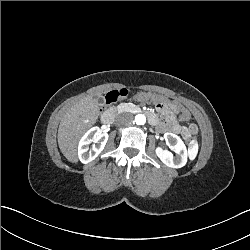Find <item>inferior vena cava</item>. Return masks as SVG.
<instances>
[{
  "label": "inferior vena cava",
  "instance_id": "1",
  "mask_svg": "<svg viewBox=\"0 0 250 250\" xmlns=\"http://www.w3.org/2000/svg\"><path fill=\"white\" fill-rule=\"evenodd\" d=\"M132 122H133V115L127 112L119 114L115 119V123L117 125H129Z\"/></svg>",
  "mask_w": 250,
  "mask_h": 250
}]
</instances>
